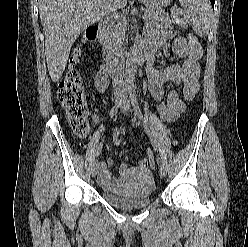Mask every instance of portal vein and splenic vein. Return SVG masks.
I'll return each instance as SVG.
<instances>
[{"instance_id":"portal-vein-and-splenic-vein-1","label":"portal vein and splenic vein","mask_w":248,"mask_h":247,"mask_svg":"<svg viewBox=\"0 0 248 247\" xmlns=\"http://www.w3.org/2000/svg\"><path fill=\"white\" fill-rule=\"evenodd\" d=\"M141 10H142V11H144V9H143V8H142ZM178 13H179V11L177 10V11H176V14H178Z\"/></svg>"}]
</instances>
